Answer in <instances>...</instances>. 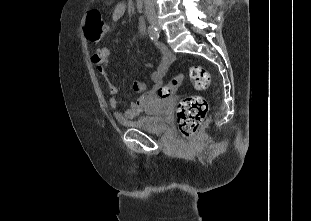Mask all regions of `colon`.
<instances>
[{"label": "colon", "mask_w": 311, "mask_h": 221, "mask_svg": "<svg viewBox=\"0 0 311 221\" xmlns=\"http://www.w3.org/2000/svg\"><path fill=\"white\" fill-rule=\"evenodd\" d=\"M101 15L102 12L99 8H90L87 12L88 23L85 26V36L94 44L98 43L102 37L104 24L100 23ZM189 76L193 86L197 89H206L211 84L210 73L205 68L192 66L189 69ZM179 80H182V77L177 78L176 82L167 85L166 88H157L159 99H168L173 89L178 87ZM209 111V105L203 97L186 96L181 98L177 105L175 120L177 130L186 137L194 134L203 125Z\"/></svg>", "instance_id": "1"}]
</instances>
